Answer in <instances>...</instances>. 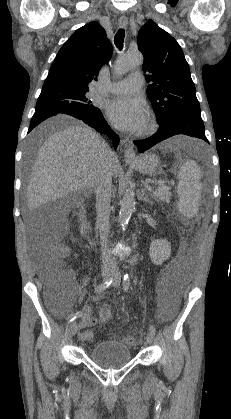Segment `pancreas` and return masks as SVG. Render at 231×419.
Returning <instances> with one entry per match:
<instances>
[{
	"mask_svg": "<svg viewBox=\"0 0 231 419\" xmlns=\"http://www.w3.org/2000/svg\"><path fill=\"white\" fill-rule=\"evenodd\" d=\"M171 197V192L168 190V188H158L153 193V198L158 202H166L169 203Z\"/></svg>",
	"mask_w": 231,
	"mask_h": 419,
	"instance_id": "cf45deb5",
	"label": "pancreas"
}]
</instances>
